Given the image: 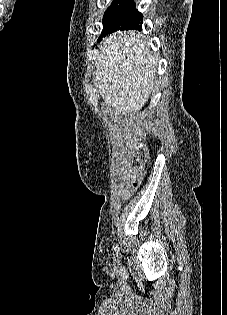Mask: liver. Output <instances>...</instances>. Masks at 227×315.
<instances>
[{
  "instance_id": "obj_1",
  "label": "liver",
  "mask_w": 227,
  "mask_h": 315,
  "mask_svg": "<svg viewBox=\"0 0 227 315\" xmlns=\"http://www.w3.org/2000/svg\"><path fill=\"white\" fill-rule=\"evenodd\" d=\"M100 49L95 86L114 115L124 117V123L135 128V135L142 136L133 114L142 109L153 91L158 59L135 31H117L105 37Z\"/></svg>"
}]
</instances>
